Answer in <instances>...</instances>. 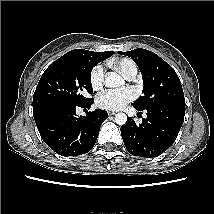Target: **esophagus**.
<instances>
[{
  "label": "esophagus",
  "instance_id": "34e87169",
  "mask_svg": "<svg viewBox=\"0 0 214 214\" xmlns=\"http://www.w3.org/2000/svg\"><path fill=\"white\" fill-rule=\"evenodd\" d=\"M108 114L112 116V115H115L116 112H114V111H109Z\"/></svg>",
  "mask_w": 214,
  "mask_h": 214
}]
</instances>
